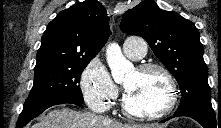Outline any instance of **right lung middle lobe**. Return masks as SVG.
Masks as SVG:
<instances>
[{"label":"right lung middle lobe","mask_w":221,"mask_h":128,"mask_svg":"<svg viewBox=\"0 0 221 128\" xmlns=\"http://www.w3.org/2000/svg\"><path fill=\"white\" fill-rule=\"evenodd\" d=\"M90 61L77 60L67 65L35 70L33 87L24 107L53 98H65L84 103L78 83L82 71Z\"/></svg>","instance_id":"right-lung-middle-lobe-1"}]
</instances>
